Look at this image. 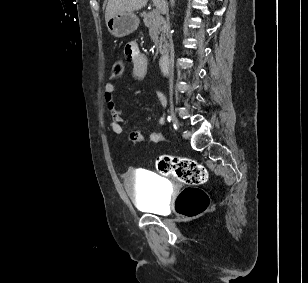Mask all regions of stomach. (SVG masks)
I'll use <instances>...</instances> for the list:
<instances>
[{
    "label": "stomach",
    "mask_w": 308,
    "mask_h": 283,
    "mask_svg": "<svg viewBox=\"0 0 308 283\" xmlns=\"http://www.w3.org/2000/svg\"><path fill=\"white\" fill-rule=\"evenodd\" d=\"M108 31L116 38L133 33L139 26V18L134 13H120L106 22Z\"/></svg>",
    "instance_id": "1"
}]
</instances>
